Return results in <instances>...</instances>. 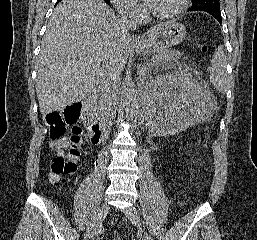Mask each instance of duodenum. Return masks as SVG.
Masks as SVG:
<instances>
[{
	"mask_svg": "<svg viewBox=\"0 0 257 240\" xmlns=\"http://www.w3.org/2000/svg\"><path fill=\"white\" fill-rule=\"evenodd\" d=\"M96 103L97 96L94 93L87 94L82 101V111L90 140L94 145H99L107 131L95 120Z\"/></svg>",
	"mask_w": 257,
	"mask_h": 240,
	"instance_id": "410a0bca",
	"label": "duodenum"
}]
</instances>
